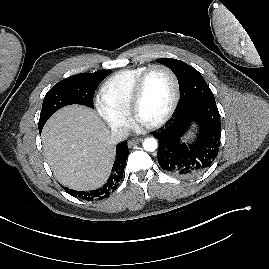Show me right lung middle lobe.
<instances>
[{
  "label": "right lung middle lobe",
  "mask_w": 269,
  "mask_h": 269,
  "mask_svg": "<svg viewBox=\"0 0 269 269\" xmlns=\"http://www.w3.org/2000/svg\"><path fill=\"white\" fill-rule=\"evenodd\" d=\"M109 74V70L80 74L55 84L44 97L39 129L41 130L49 117L63 106L82 104L93 108L95 89Z\"/></svg>",
  "instance_id": "dd1d6c3e"
}]
</instances>
